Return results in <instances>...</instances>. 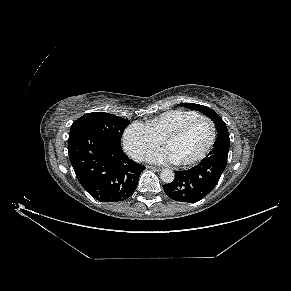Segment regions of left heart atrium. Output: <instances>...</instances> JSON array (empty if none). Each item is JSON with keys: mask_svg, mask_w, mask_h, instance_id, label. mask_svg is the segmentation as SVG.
<instances>
[{"mask_svg": "<svg viewBox=\"0 0 291 291\" xmlns=\"http://www.w3.org/2000/svg\"><path fill=\"white\" fill-rule=\"evenodd\" d=\"M148 160L152 163H158V164H164V163H168V162H176L174 155L166 147L151 152L148 155Z\"/></svg>", "mask_w": 291, "mask_h": 291, "instance_id": "1", "label": "left heart atrium"}]
</instances>
